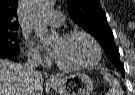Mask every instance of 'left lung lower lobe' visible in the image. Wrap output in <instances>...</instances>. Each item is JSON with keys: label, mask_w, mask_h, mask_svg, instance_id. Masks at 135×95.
I'll return each instance as SVG.
<instances>
[{"label": "left lung lower lobe", "mask_w": 135, "mask_h": 95, "mask_svg": "<svg viewBox=\"0 0 135 95\" xmlns=\"http://www.w3.org/2000/svg\"><path fill=\"white\" fill-rule=\"evenodd\" d=\"M119 70H120L122 76L124 77V69H119Z\"/></svg>", "instance_id": "0a47b994"}]
</instances>
